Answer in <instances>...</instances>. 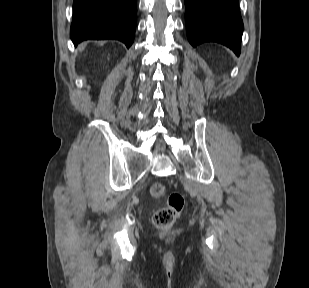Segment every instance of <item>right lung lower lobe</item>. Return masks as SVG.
Returning <instances> with one entry per match:
<instances>
[{"label":"right lung lower lobe","mask_w":309,"mask_h":288,"mask_svg":"<svg viewBox=\"0 0 309 288\" xmlns=\"http://www.w3.org/2000/svg\"><path fill=\"white\" fill-rule=\"evenodd\" d=\"M136 29V0H74L70 37L74 45L88 39H116L128 48Z\"/></svg>","instance_id":"1"}]
</instances>
